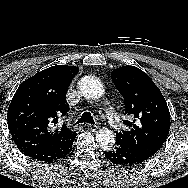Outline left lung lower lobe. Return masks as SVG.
Masks as SVG:
<instances>
[{
	"label": "left lung lower lobe",
	"mask_w": 188,
	"mask_h": 188,
	"mask_svg": "<svg viewBox=\"0 0 188 188\" xmlns=\"http://www.w3.org/2000/svg\"><path fill=\"white\" fill-rule=\"evenodd\" d=\"M106 158L114 164L132 166L143 163L154 155L147 150L125 145L116 141L114 150L104 151Z\"/></svg>",
	"instance_id": "1"
}]
</instances>
